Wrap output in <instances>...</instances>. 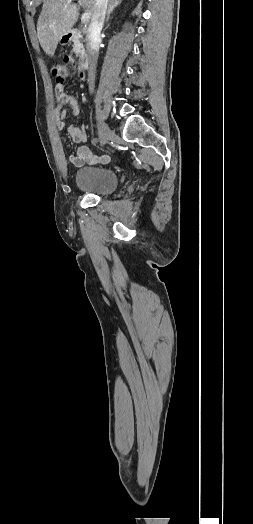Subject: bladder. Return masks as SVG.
Segmentation results:
<instances>
[{
	"label": "bladder",
	"mask_w": 253,
	"mask_h": 524,
	"mask_svg": "<svg viewBox=\"0 0 253 524\" xmlns=\"http://www.w3.org/2000/svg\"><path fill=\"white\" fill-rule=\"evenodd\" d=\"M119 175L111 169L85 167L76 173L77 188L88 194L105 197L119 187Z\"/></svg>",
	"instance_id": "31cf9c89"
}]
</instances>
